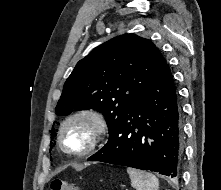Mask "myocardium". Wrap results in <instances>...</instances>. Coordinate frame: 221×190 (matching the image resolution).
I'll use <instances>...</instances> for the list:
<instances>
[{
    "instance_id": "f54148a6",
    "label": "myocardium",
    "mask_w": 221,
    "mask_h": 190,
    "mask_svg": "<svg viewBox=\"0 0 221 190\" xmlns=\"http://www.w3.org/2000/svg\"><path fill=\"white\" fill-rule=\"evenodd\" d=\"M79 118L87 119L92 123L93 135L87 147L81 150H74L66 146L63 135L67 125L73 120ZM107 132H108L107 120L100 111L93 108H81L70 113L62 121L59 128L58 142L62 150L65 151L66 153H69L74 156H85L90 154L99 147V145L104 140Z\"/></svg>"
}]
</instances>
